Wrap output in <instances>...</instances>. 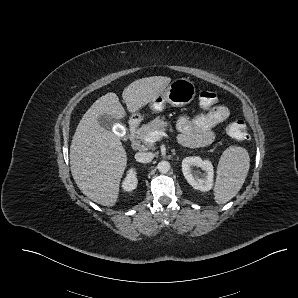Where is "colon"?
<instances>
[{
	"label": "colon",
	"instance_id": "1",
	"mask_svg": "<svg viewBox=\"0 0 298 298\" xmlns=\"http://www.w3.org/2000/svg\"><path fill=\"white\" fill-rule=\"evenodd\" d=\"M198 99L201 107L209 108L217 102V95L208 89H202L198 92ZM227 134L235 140L245 141L249 138V132L245 122L236 119L226 128Z\"/></svg>",
	"mask_w": 298,
	"mask_h": 298
}]
</instances>
